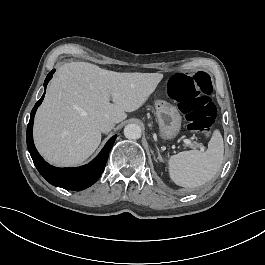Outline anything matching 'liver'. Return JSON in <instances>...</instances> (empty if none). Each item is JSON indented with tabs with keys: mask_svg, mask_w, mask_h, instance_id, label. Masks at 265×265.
<instances>
[{
	"mask_svg": "<svg viewBox=\"0 0 265 265\" xmlns=\"http://www.w3.org/2000/svg\"><path fill=\"white\" fill-rule=\"evenodd\" d=\"M162 78L160 73H119L87 62L63 64L35 116L37 150L55 166L83 163L101 143L96 121L125 120L126 112L141 107Z\"/></svg>",
	"mask_w": 265,
	"mask_h": 265,
	"instance_id": "liver-1",
	"label": "liver"
}]
</instances>
